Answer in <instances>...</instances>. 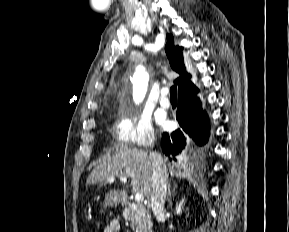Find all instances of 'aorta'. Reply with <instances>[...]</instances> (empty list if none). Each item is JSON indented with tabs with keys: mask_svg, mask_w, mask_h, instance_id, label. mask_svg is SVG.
Segmentation results:
<instances>
[{
	"mask_svg": "<svg viewBox=\"0 0 289 232\" xmlns=\"http://www.w3.org/2000/svg\"><path fill=\"white\" fill-rule=\"evenodd\" d=\"M149 76L143 68H138L135 75V93L138 101H141L147 91Z\"/></svg>",
	"mask_w": 289,
	"mask_h": 232,
	"instance_id": "762f6f07",
	"label": "aorta"
}]
</instances>
